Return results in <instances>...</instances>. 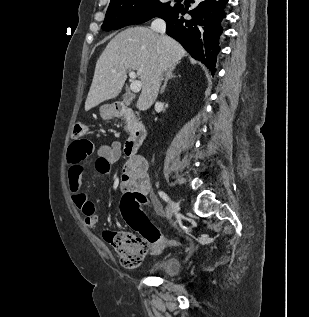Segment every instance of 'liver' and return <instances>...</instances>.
<instances>
[{"label": "liver", "instance_id": "1", "mask_svg": "<svg viewBox=\"0 0 309 317\" xmlns=\"http://www.w3.org/2000/svg\"><path fill=\"white\" fill-rule=\"evenodd\" d=\"M185 54L177 41L159 36L147 27H131L120 32L97 60L85 111L117 97L131 69L137 72L142 84L137 108L149 109L158 96L163 72L174 69Z\"/></svg>", "mask_w": 309, "mask_h": 317}]
</instances>
